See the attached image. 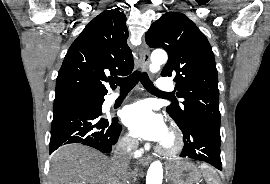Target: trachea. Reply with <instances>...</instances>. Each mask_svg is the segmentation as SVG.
<instances>
[{"mask_svg": "<svg viewBox=\"0 0 270 184\" xmlns=\"http://www.w3.org/2000/svg\"><path fill=\"white\" fill-rule=\"evenodd\" d=\"M141 80L142 85L144 88L155 94L163 95V96H170L169 94L163 93L159 91L152 83V81L149 79L147 73L135 71L131 75H129L126 78H117L114 80V82L120 86L121 91H130L135 87V85Z\"/></svg>", "mask_w": 270, "mask_h": 184, "instance_id": "3493384b", "label": "trachea"}]
</instances>
